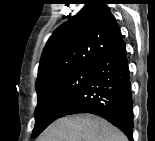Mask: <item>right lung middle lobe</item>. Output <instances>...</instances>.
Returning a JSON list of instances; mask_svg holds the SVG:
<instances>
[{"label": "right lung middle lobe", "instance_id": "right-lung-middle-lobe-1", "mask_svg": "<svg viewBox=\"0 0 155 141\" xmlns=\"http://www.w3.org/2000/svg\"><path fill=\"white\" fill-rule=\"evenodd\" d=\"M94 68H76L55 74L37 87L38 103L35 109V127L32 137H37L48 125L59 118L63 109L82 89Z\"/></svg>", "mask_w": 155, "mask_h": 141}]
</instances>
